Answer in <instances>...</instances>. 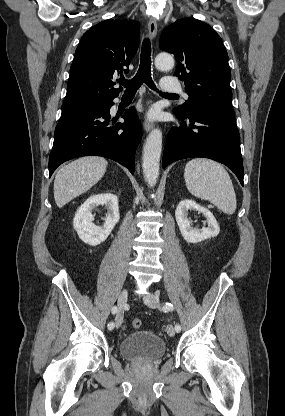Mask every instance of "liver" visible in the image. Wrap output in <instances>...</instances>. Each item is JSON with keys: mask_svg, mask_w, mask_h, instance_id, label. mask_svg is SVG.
I'll list each match as a JSON object with an SVG mask.
<instances>
[{"mask_svg": "<svg viewBox=\"0 0 285 416\" xmlns=\"http://www.w3.org/2000/svg\"><path fill=\"white\" fill-rule=\"evenodd\" d=\"M108 162L98 156L79 158L57 172L54 180V198L58 208L88 192L103 178Z\"/></svg>", "mask_w": 285, "mask_h": 416, "instance_id": "1", "label": "liver"}]
</instances>
